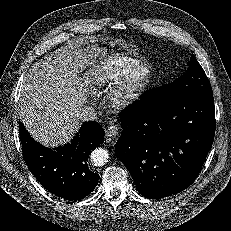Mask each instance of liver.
<instances>
[{
    "mask_svg": "<svg viewBox=\"0 0 231 231\" xmlns=\"http://www.w3.org/2000/svg\"><path fill=\"white\" fill-rule=\"evenodd\" d=\"M98 54L99 48L77 41L30 67L19 98V117L35 140L58 147L78 132L77 112L87 102L90 82H82L79 72Z\"/></svg>",
    "mask_w": 231,
    "mask_h": 231,
    "instance_id": "liver-1",
    "label": "liver"
}]
</instances>
